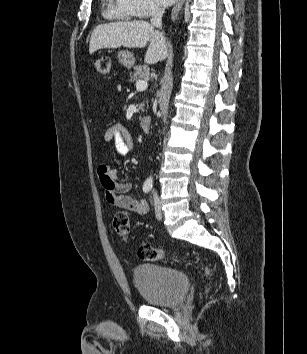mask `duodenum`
<instances>
[{
  "mask_svg": "<svg viewBox=\"0 0 307 354\" xmlns=\"http://www.w3.org/2000/svg\"><path fill=\"white\" fill-rule=\"evenodd\" d=\"M152 119L150 116H143L140 119V127L144 132H149L151 128Z\"/></svg>",
  "mask_w": 307,
  "mask_h": 354,
  "instance_id": "410a0bca",
  "label": "duodenum"
}]
</instances>
